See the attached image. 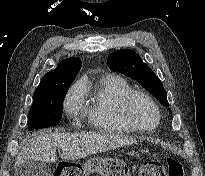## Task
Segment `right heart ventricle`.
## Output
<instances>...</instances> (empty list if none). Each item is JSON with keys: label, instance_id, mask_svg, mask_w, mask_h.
Here are the masks:
<instances>
[{"label": "right heart ventricle", "instance_id": "right-heart-ventricle-1", "mask_svg": "<svg viewBox=\"0 0 205 176\" xmlns=\"http://www.w3.org/2000/svg\"><path fill=\"white\" fill-rule=\"evenodd\" d=\"M131 91L133 88L127 80L115 74H105L96 81L89 92L87 112L99 131L111 134L134 131L122 114V101Z\"/></svg>", "mask_w": 205, "mask_h": 176}]
</instances>
